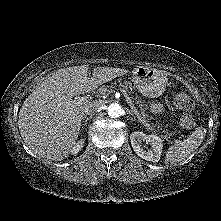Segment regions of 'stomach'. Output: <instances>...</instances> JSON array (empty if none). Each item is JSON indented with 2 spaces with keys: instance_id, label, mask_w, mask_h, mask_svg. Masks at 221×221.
Masks as SVG:
<instances>
[{
  "instance_id": "0dacf381",
  "label": "stomach",
  "mask_w": 221,
  "mask_h": 221,
  "mask_svg": "<svg viewBox=\"0 0 221 221\" xmlns=\"http://www.w3.org/2000/svg\"><path fill=\"white\" fill-rule=\"evenodd\" d=\"M132 81L144 96L158 98L164 92L168 78L163 71L139 66L132 71ZM150 110L153 113H161L164 111V105L153 101L150 103Z\"/></svg>"
}]
</instances>
